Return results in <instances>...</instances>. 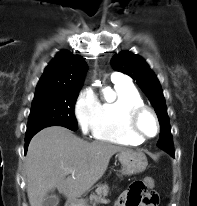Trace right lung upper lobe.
Segmentation results:
<instances>
[{
    "label": "right lung upper lobe",
    "instance_id": "right-lung-upper-lobe-1",
    "mask_svg": "<svg viewBox=\"0 0 197 206\" xmlns=\"http://www.w3.org/2000/svg\"><path fill=\"white\" fill-rule=\"evenodd\" d=\"M86 65L81 56L61 51L45 68L36 91L80 90Z\"/></svg>",
    "mask_w": 197,
    "mask_h": 206
}]
</instances>
